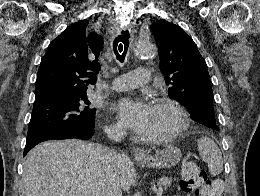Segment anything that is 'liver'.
Instances as JSON below:
<instances>
[{
  "instance_id": "1",
  "label": "liver",
  "mask_w": 260,
  "mask_h": 196,
  "mask_svg": "<svg viewBox=\"0 0 260 196\" xmlns=\"http://www.w3.org/2000/svg\"><path fill=\"white\" fill-rule=\"evenodd\" d=\"M109 148L83 140H49L35 146L25 158L26 196H106V178L112 168L105 162ZM115 172L120 188L136 184V170L125 154H118Z\"/></svg>"
}]
</instances>
